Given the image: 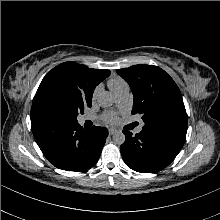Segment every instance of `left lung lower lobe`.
Here are the masks:
<instances>
[{"instance_id": "obj_1", "label": "left lung lower lobe", "mask_w": 220, "mask_h": 220, "mask_svg": "<svg viewBox=\"0 0 220 220\" xmlns=\"http://www.w3.org/2000/svg\"><path fill=\"white\" fill-rule=\"evenodd\" d=\"M126 136L121 155L126 165L141 173H154L167 167L180 152V148L144 132L135 136L123 130Z\"/></svg>"}]
</instances>
